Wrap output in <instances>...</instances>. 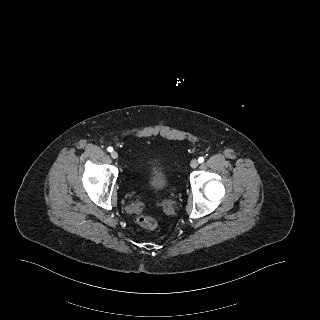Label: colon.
<instances>
[{"mask_svg": "<svg viewBox=\"0 0 320 320\" xmlns=\"http://www.w3.org/2000/svg\"><path fill=\"white\" fill-rule=\"evenodd\" d=\"M138 224L145 229L153 230L157 227V221L151 216L142 215L137 219Z\"/></svg>", "mask_w": 320, "mask_h": 320, "instance_id": "5ec220e1", "label": "colon"}]
</instances>
